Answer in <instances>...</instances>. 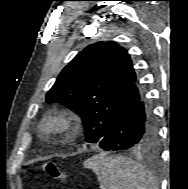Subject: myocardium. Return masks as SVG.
<instances>
[{
  "instance_id": "1",
  "label": "myocardium",
  "mask_w": 188,
  "mask_h": 189,
  "mask_svg": "<svg viewBox=\"0 0 188 189\" xmlns=\"http://www.w3.org/2000/svg\"><path fill=\"white\" fill-rule=\"evenodd\" d=\"M80 125V116L72 108L62 107L47 111L37 125L38 135L45 140L74 134Z\"/></svg>"
}]
</instances>
